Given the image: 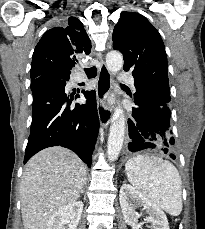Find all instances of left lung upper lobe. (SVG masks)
I'll return each mask as SVG.
<instances>
[{"label": "left lung upper lobe", "instance_id": "obj_1", "mask_svg": "<svg viewBox=\"0 0 205 229\" xmlns=\"http://www.w3.org/2000/svg\"><path fill=\"white\" fill-rule=\"evenodd\" d=\"M113 49L124 58V70L132 71L136 93L147 91L169 104L170 88L164 43L156 28L142 15L122 12L113 31Z\"/></svg>", "mask_w": 205, "mask_h": 229}]
</instances>
